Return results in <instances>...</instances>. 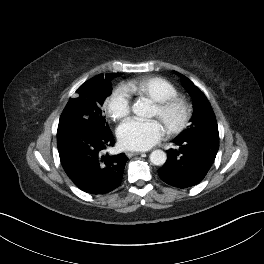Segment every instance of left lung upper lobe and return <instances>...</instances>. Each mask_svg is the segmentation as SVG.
Wrapping results in <instances>:
<instances>
[{
  "mask_svg": "<svg viewBox=\"0 0 264 264\" xmlns=\"http://www.w3.org/2000/svg\"><path fill=\"white\" fill-rule=\"evenodd\" d=\"M175 73L180 76L183 87L193 100L194 107V113L190 119L191 125L176 138L188 137L195 134H211L219 136L215 115L206 96L191 80L180 73Z\"/></svg>",
  "mask_w": 264,
  "mask_h": 264,
  "instance_id": "obj_1",
  "label": "left lung upper lobe"
}]
</instances>
